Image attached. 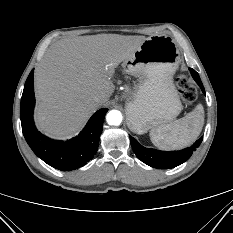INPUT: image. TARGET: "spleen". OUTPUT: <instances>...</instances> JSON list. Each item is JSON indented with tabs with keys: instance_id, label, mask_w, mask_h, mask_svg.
<instances>
[{
	"instance_id": "3e777b00",
	"label": "spleen",
	"mask_w": 233,
	"mask_h": 233,
	"mask_svg": "<svg viewBox=\"0 0 233 233\" xmlns=\"http://www.w3.org/2000/svg\"><path fill=\"white\" fill-rule=\"evenodd\" d=\"M204 124V109L201 104L172 123L153 128L149 135L152 143L163 150L185 148L196 141Z\"/></svg>"
}]
</instances>
